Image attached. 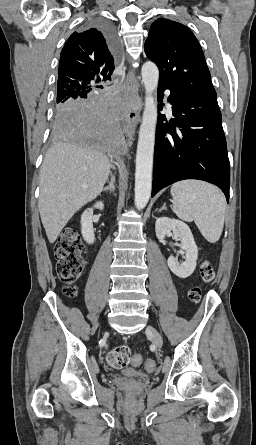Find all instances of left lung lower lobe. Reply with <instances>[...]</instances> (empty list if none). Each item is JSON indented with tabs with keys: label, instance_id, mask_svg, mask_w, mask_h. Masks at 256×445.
I'll return each mask as SVG.
<instances>
[{
	"label": "left lung lower lobe",
	"instance_id": "1",
	"mask_svg": "<svg viewBox=\"0 0 256 445\" xmlns=\"http://www.w3.org/2000/svg\"><path fill=\"white\" fill-rule=\"evenodd\" d=\"M159 87L170 90L173 119L158 115L152 197L176 181L199 179L217 185L229 201L230 166L217 99Z\"/></svg>",
	"mask_w": 256,
	"mask_h": 445
}]
</instances>
